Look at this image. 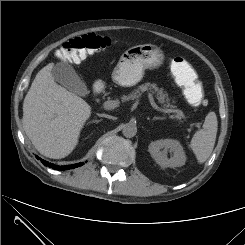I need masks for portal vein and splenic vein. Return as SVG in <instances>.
Here are the masks:
<instances>
[{
    "instance_id": "1",
    "label": "portal vein and splenic vein",
    "mask_w": 245,
    "mask_h": 245,
    "mask_svg": "<svg viewBox=\"0 0 245 245\" xmlns=\"http://www.w3.org/2000/svg\"><path fill=\"white\" fill-rule=\"evenodd\" d=\"M148 98H149V103H150L151 107L153 109H155L156 111L161 112V113H165V114H171L172 113L171 110L165 109V108H162V107L158 106L155 103L152 95L149 94ZM119 105H120V101L118 99L109 100V101L104 102V104H103L104 108L105 109H109V110L110 109H114L116 107H119ZM174 117L177 118V119H182L183 118V116H179V115H174Z\"/></svg>"
}]
</instances>
